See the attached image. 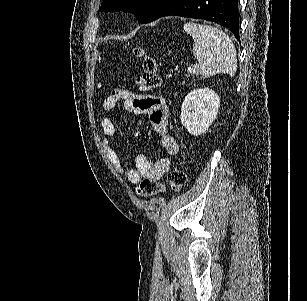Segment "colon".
<instances>
[{
	"mask_svg": "<svg viewBox=\"0 0 307 301\" xmlns=\"http://www.w3.org/2000/svg\"><path fill=\"white\" fill-rule=\"evenodd\" d=\"M135 55L143 57V73L137 78L138 86L143 91H150L161 86L162 79L157 71L155 60L148 56L142 49L134 50ZM167 183L171 190L181 191L187 183L186 172L182 168H174L167 175ZM164 184L155 180L144 179L136 191L141 197H151L165 191Z\"/></svg>",
	"mask_w": 307,
	"mask_h": 301,
	"instance_id": "obj_1",
	"label": "colon"
}]
</instances>
